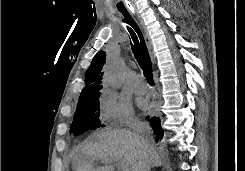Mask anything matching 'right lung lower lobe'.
<instances>
[{
  "instance_id": "1",
  "label": "right lung lower lobe",
  "mask_w": 245,
  "mask_h": 171,
  "mask_svg": "<svg viewBox=\"0 0 245 171\" xmlns=\"http://www.w3.org/2000/svg\"><path fill=\"white\" fill-rule=\"evenodd\" d=\"M146 120L150 122V125L155 135V139L158 142L159 140L163 138V129L161 128L160 118L152 117L149 119V116H147Z\"/></svg>"
}]
</instances>
